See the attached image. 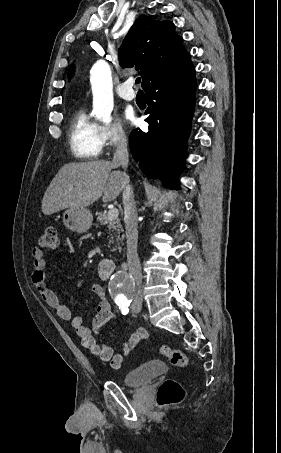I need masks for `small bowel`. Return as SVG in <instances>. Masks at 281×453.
Instances as JSON below:
<instances>
[{
	"mask_svg": "<svg viewBox=\"0 0 281 453\" xmlns=\"http://www.w3.org/2000/svg\"><path fill=\"white\" fill-rule=\"evenodd\" d=\"M31 255L33 267L30 277L36 287L37 293L62 320L69 322L76 330L77 335L82 340L83 346L87 350L97 355L100 360L109 362L112 368L119 369L122 366L124 359L128 357L138 345L139 340L147 336L146 331L142 328L134 331L128 341L123 345L122 350L116 353L111 346L98 341L95 335L105 324L113 319L112 304L104 296L102 287L99 284H91L90 286V290L95 295L99 296L96 315L91 322L92 327L90 328L82 322L80 317L74 316L69 308L59 301L58 297L49 287L46 278L48 259L45 252L41 249H33Z\"/></svg>",
	"mask_w": 281,
	"mask_h": 453,
	"instance_id": "obj_1",
	"label": "small bowel"
}]
</instances>
